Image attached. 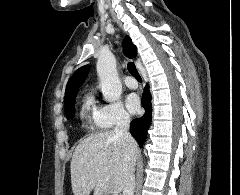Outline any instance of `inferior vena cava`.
I'll return each mask as SVG.
<instances>
[{
	"mask_svg": "<svg viewBox=\"0 0 240 195\" xmlns=\"http://www.w3.org/2000/svg\"><path fill=\"white\" fill-rule=\"evenodd\" d=\"M129 125H130V115H128V113H121L117 121V125L114 129L115 137H119V139H123L126 145H134L136 141L134 137H132L129 131ZM134 165H135V161H133L132 163L131 175H129V179H127L123 187V195H134V189H135Z\"/></svg>",
	"mask_w": 240,
	"mask_h": 195,
	"instance_id": "inferior-vena-cava-1",
	"label": "inferior vena cava"
}]
</instances>
